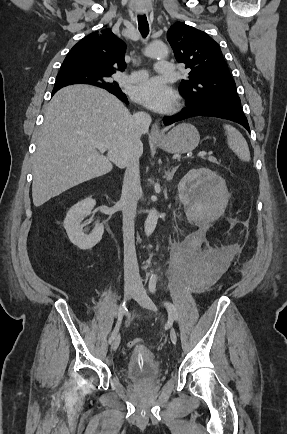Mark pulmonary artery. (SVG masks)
Listing matches in <instances>:
<instances>
[{
	"label": "pulmonary artery",
	"mask_w": 287,
	"mask_h": 434,
	"mask_svg": "<svg viewBox=\"0 0 287 434\" xmlns=\"http://www.w3.org/2000/svg\"><path fill=\"white\" fill-rule=\"evenodd\" d=\"M155 71L161 75H172L174 73V67L168 62H157L155 64ZM148 77V73L145 70L133 71L129 75L123 76V80L130 83L139 82Z\"/></svg>",
	"instance_id": "1"
}]
</instances>
